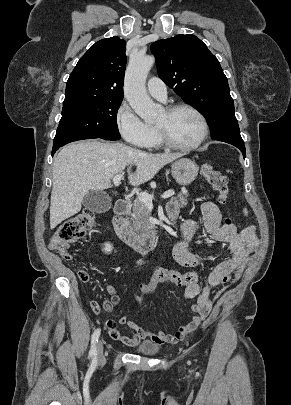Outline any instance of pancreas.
Instances as JSON below:
<instances>
[{"label": "pancreas", "instance_id": "1", "mask_svg": "<svg viewBox=\"0 0 291 405\" xmlns=\"http://www.w3.org/2000/svg\"><path fill=\"white\" fill-rule=\"evenodd\" d=\"M187 198V192H180L176 197H173L172 200L178 207L183 208L187 205ZM131 220V228L139 235L146 236L154 229V226L149 222L148 219L147 205L140 200H135L133 202Z\"/></svg>", "mask_w": 291, "mask_h": 405}]
</instances>
